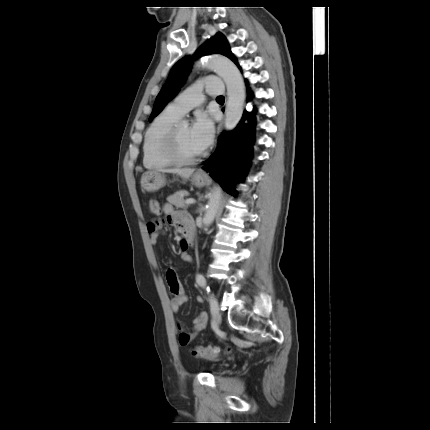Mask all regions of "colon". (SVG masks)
Listing matches in <instances>:
<instances>
[{
	"label": "colon",
	"mask_w": 430,
	"mask_h": 430,
	"mask_svg": "<svg viewBox=\"0 0 430 430\" xmlns=\"http://www.w3.org/2000/svg\"><path fill=\"white\" fill-rule=\"evenodd\" d=\"M149 209L150 212L153 215H159L160 214V207L156 200H150L149 201ZM231 351V348L226 349V353H229ZM222 354V351L218 347H212V346H202L197 345L192 350V355L197 358H202L206 360H215L219 358Z\"/></svg>",
	"instance_id": "obj_1"
}]
</instances>
